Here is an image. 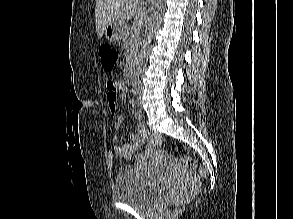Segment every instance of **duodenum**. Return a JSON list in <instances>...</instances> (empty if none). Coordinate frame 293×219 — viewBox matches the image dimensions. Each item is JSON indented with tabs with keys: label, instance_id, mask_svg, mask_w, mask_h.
I'll use <instances>...</instances> for the list:
<instances>
[{
	"label": "duodenum",
	"instance_id": "1",
	"mask_svg": "<svg viewBox=\"0 0 293 219\" xmlns=\"http://www.w3.org/2000/svg\"><path fill=\"white\" fill-rule=\"evenodd\" d=\"M127 78H128V81L134 85L135 84V73H134V68L133 66H130L129 69H128V72H127Z\"/></svg>",
	"mask_w": 293,
	"mask_h": 219
}]
</instances>
